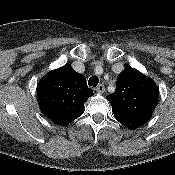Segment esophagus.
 Masks as SVG:
<instances>
[{"instance_id": "1", "label": "esophagus", "mask_w": 175, "mask_h": 175, "mask_svg": "<svg viewBox=\"0 0 175 175\" xmlns=\"http://www.w3.org/2000/svg\"><path fill=\"white\" fill-rule=\"evenodd\" d=\"M95 91L97 93H103L105 91V87L103 84H99L96 88H95Z\"/></svg>"}]
</instances>
